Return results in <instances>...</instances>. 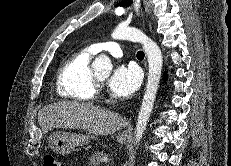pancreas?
<instances>
[{
    "instance_id": "pancreas-1",
    "label": "pancreas",
    "mask_w": 231,
    "mask_h": 166,
    "mask_svg": "<svg viewBox=\"0 0 231 166\" xmlns=\"http://www.w3.org/2000/svg\"><path fill=\"white\" fill-rule=\"evenodd\" d=\"M109 156L108 153L105 152H97L93 154L90 158V166H99V164L103 161L104 158Z\"/></svg>"
}]
</instances>
